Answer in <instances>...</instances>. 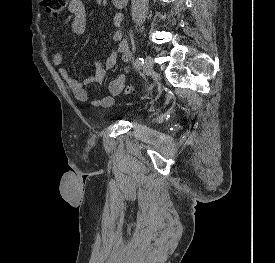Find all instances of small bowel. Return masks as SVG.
Instances as JSON below:
<instances>
[{
	"mask_svg": "<svg viewBox=\"0 0 275 263\" xmlns=\"http://www.w3.org/2000/svg\"><path fill=\"white\" fill-rule=\"evenodd\" d=\"M69 15L65 18L63 25H68L75 35H83L86 31L87 10L82 0H70L68 6ZM115 31L112 39L115 42L114 49L107 56L104 63L95 60L93 62L94 73L83 82L71 76L70 72L62 67L63 56L60 52H55L52 56V63L58 66L60 77L67 83L75 99L80 102L88 101V94L85 85L100 84L104 81L107 73L113 69L120 58L123 62V72L109 83V94L101 98L90 99V104L97 108H109L113 105L114 98L120 95L124 89L127 75L131 70L132 53L129 44L123 37V18L116 14L113 19ZM82 59L76 60V65L81 64Z\"/></svg>",
	"mask_w": 275,
	"mask_h": 263,
	"instance_id": "1",
	"label": "small bowel"
}]
</instances>
